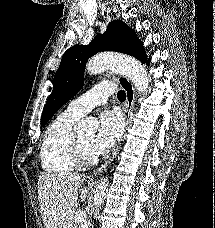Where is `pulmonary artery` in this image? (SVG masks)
Returning <instances> with one entry per match:
<instances>
[{"instance_id": "1", "label": "pulmonary artery", "mask_w": 215, "mask_h": 228, "mask_svg": "<svg viewBox=\"0 0 215 228\" xmlns=\"http://www.w3.org/2000/svg\"><path fill=\"white\" fill-rule=\"evenodd\" d=\"M114 89H118V84L116 82H111L110 84H97V87L71 101L67 106V110L77 116H83L92 108L98 105H104L108 96L114 92Z\"/></svg>"}]
</instances>
